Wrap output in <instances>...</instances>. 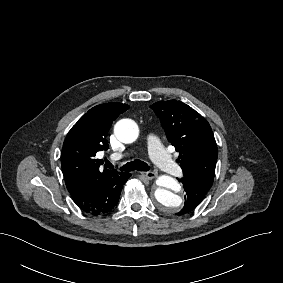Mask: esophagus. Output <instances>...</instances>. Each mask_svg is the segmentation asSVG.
Masks as SVG:
<instances>
[{
	"instance_id": "obj_1",
	"label": "esophagus",
	"mask_w": 283,
	"mask_h": 283,
	"mask_svg": "<svg viewBox=\"0 0 283 283\" xmlns=\"http://www.w3.org/2000/svg\"><path fill=\"white\" fill-rule=\"evenodd\" d=\"M145 179H148V180H152L154 178L157 177V172L155 171H147V172H141L140 173Z\"/></svg>"
}]
</instances>
